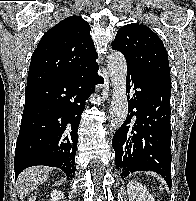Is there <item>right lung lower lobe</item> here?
Instances as JSON below:
<instances>
[{
    "mask_svg": "<svg viewBox=\"0 0 196 201\" xmlns=\"http://www.w3.org/2000/svg\"><path fill=\"white\" fill-rule=\"evenodd\" d=\"M98 65L76 74L25 88V106L16 143L15 178L30 166L62 169L67 179L75 174L77 131L85 100L95 83Z\"/></svg>",
    "mask_w": 196,
    "mask_h": 201,
    "instance_id": "98d812e1",
    "label": "right lung lower lobe"
}]
</instances>
